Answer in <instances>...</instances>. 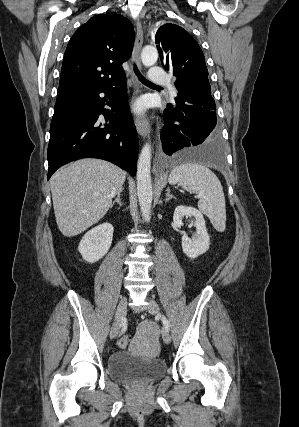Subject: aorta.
Instances as JSON below:
<instances>
[{"label": "aorta", "mask_w": 299, "mask_h": 427, "mask_svg": "<svg viewBox=\"0 0 299 427\" xmlns=\"http://www.w3.org/2000/svg\"><path fill=\"white\" fill-rule=\"evenodd\" d=\"M158 59V51L153 46H145L141 53V60L144 66H153ZM137 196L142 216L145 222L150 221V210L153 199V189L151 181V145L146 143L139 155L137 162Z\"/></svg>", "instance_id": "aorta-1"}]
</instances>
